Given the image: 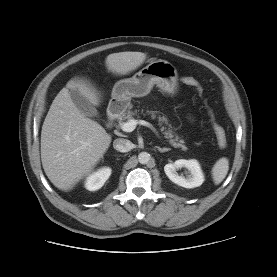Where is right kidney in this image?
Here are the masks:
<instances>
[{
  "instance_id": "ca27d5eb",
  "label": "right kidney",
  "mask_w": 277,
  "mask_h": 277,
  "mask_svg": "<svg viewBox=\"0 0 277 277\" xmlns=\"http://www.w3.org/2000/svg\"><path fill=\"white\" fill-rule=\"evenodd\" d=\"M111 175V169L104 167L90 174L85 181V188L89 191L100 189Z\"/></svg>"
}]
</instances>
